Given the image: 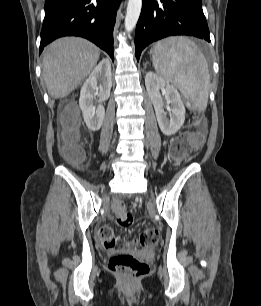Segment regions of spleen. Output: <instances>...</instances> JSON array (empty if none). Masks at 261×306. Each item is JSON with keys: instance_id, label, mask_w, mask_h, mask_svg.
Returning <instances> with one entry per match:
<instances>
[{"instance_id": "3e777b00", "label": "spleen", "mask_w": 261, "mask_h": 306, "mask_svg": "<svg viewBox=\"0 0 261 306\" xmlns=\"http://www.w3.org/2000/svg\"><path fill=\"white\" fill-rule=\"evenodd\" d=\"M150 53L159 76L176 86L194 109L205 111L210 75L197 45L186 37H169L157 42Z\"/></svg>"}]
</instances>
